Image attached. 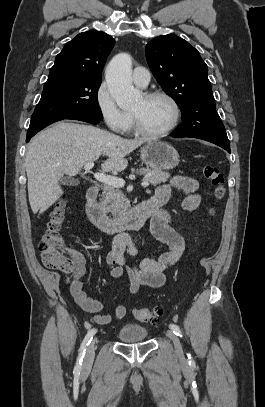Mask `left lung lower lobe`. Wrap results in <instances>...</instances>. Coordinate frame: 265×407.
<instances>
[{"instance_id":"left-lung-lower-lobe-1","label":"left lung lower lobe","mask_w":265,"mask_h":407,"mask_svg":"<svg viewBox=\"0 0 265 407\" xmlns=\"http://www.w3.org/2000/svg\"><path fill=\"white\" fill-rule=\"evenodd\" d=\"M172 137L177 138V137H180V136L172 134ZM216 145H218V146L222 147L223 149L227 150L228 152H230V145H223V144H216Z\"/></svg>"}]
</instances>
